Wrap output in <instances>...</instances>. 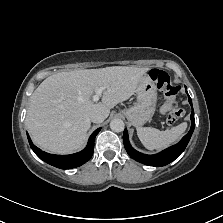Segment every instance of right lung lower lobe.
<instances>
[{"label":"right lung lower lobe","instance_id":"right-lung-lower-lobe-1","mask_svg":"<svg viewBox=\"0 0 223 223\" xmlns=\"http://www.w3.org/2000/svg\"><path fill=\"white\" fill-rule=\"evenodd\" d=\"M100 129L101 128H98L92 133L84 150L71 155H53L43 152L32 143L28 134L27 137L30 147L41 160L60 169H71L81 166L92 157L94 151V140Z\"/></svg>","mask_w":223,"mask_h":223}]
</instances>
